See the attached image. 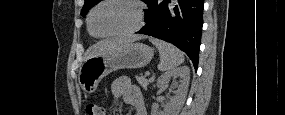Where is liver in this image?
Listing matches in <instances>:
<instances>
[{
  "instance_id": "6515ba94",
  "label": "liver",
  "mask_w": 285,
  "mask_h": 115,
  "mask_svg": "<svg viewBox=\"0 0 285 115\" xmlns=\"http://www.w3.org/2000/svg\"><path fill=\"white\" fill-rule=\"evenodd\" d=\"M139 38L140 37H121L112 40L101 41L95 46H93L88 56L86 57V60L93 56H101L115 53L116 51L122 49L123 47L127 46L128 44Z\"/></svg>"
}]
</instances>
